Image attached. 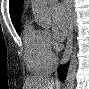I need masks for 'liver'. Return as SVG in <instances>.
<instances>
[{"label":"liver","instance_id":"1","mask_svg":"<svg viewBox=\"0 0 89 89\" xmlns=\"http://www.w3.org/2000/svg\"><path fill=\"white\" fill-rule=\"evenodd\" d=\"M54 87V81L43 76L30 77L24 84V89H54Z\"/></svg>","mask_w":89,"mask_h":89}]
</instances>
